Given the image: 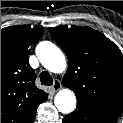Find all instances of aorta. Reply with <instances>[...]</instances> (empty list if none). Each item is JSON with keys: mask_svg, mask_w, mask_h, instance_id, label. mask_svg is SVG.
Instances as JSON below:
<instances>
[{"mask_svg": "<svg viewBox=\"0 0 123 123\" xmlns=\"http://www.w3.org/2000/svg\"><path fill=\"white\" fill-rule=\"evenodd\" d=\"M37 56L42 65L53 73L66 70V59L62 51L53 43L43 41L36 48ZM55 106L63 114H69L76 108V96L70 89H62L55 96Z\"/></svg>", "mask_w": 123, "mask_h": 123, "instance_id": "1", "label": "aorta"}]
</instances>
